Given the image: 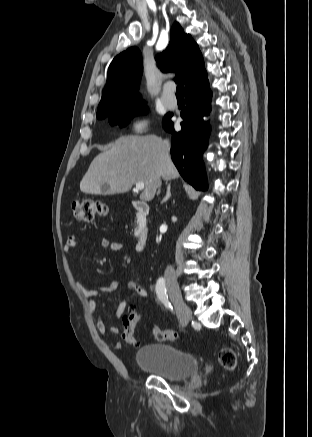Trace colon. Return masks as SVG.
<instances>
[{
    "instance_id": "5ec220e1",
    "label": "colon",
    "mask_w": 312,
    "mask_h": 437,
    "mask_svg": "<svg viewBox=\"0 0 312 437\" xmlns=\"http://www.w3.org/2000/svg\"><path fill=\"white\" fill-rule=\"evenodd\" d=\"M70 208L73 218L79 221H92L98 217H105L108 213L106 204L91 198L73 200ZM141 318L142 313L137 310H131L124 316L122 338L127 344L137 345L135 328ZM152 333L158 341H174L179 339V334L176 331L163 330L156 325L152 326ZM218 359L225 369L232 371L236 368L237 358L232 349H220Z\"/></svg>"
}]
</instances>
